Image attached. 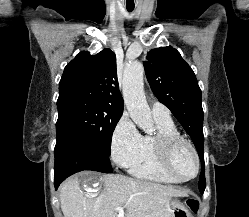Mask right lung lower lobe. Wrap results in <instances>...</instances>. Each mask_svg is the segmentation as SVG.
Instances as JSON below:
<instances>
[{
    "mask_svg": "<svg viewBox=\"0 0 249 217\" xmlns=\"http://www.w3.org/2000/svg\"><path fill=\"white\" fill-rule=\"evenodd\" d=\"M56 132L57 143L54 150V184L56 189L67 177L82 170L112 173L109 155L99 151L94 145L70 129L61 128Z\"/></svg>",
    "mask_w": 249,
    "mask_h": 217,
    "instance_id": "right-lung-lower-lobe-1",
    "label": "right lung lower lobe"
}]
</instances>
